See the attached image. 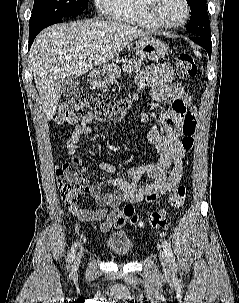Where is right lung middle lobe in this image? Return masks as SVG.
I'll return each instance as SVG.
<instances>
[{
  "mask_svg": "<svg viewBox=\"0 0 239 303\" xmlns=\"http://www.w3.org/2000/svg\"><path fill=\"white\" fill-rule=\"evenodd\" d=\"M88 8V0H35L29 27L46 24L55 18L82 13Z\"/></svg>",
  "mask_w": 239,
  "mask_h": 303,
  "instance_id": "1",
  "label": "right lung middle lobe"
}]
</instances>
